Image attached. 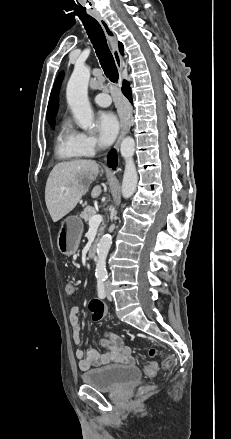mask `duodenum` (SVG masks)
<instances>
[{"mask_svg": "<svg viewBox=\"0 0 231 439\" xmlns=\"http://www.w3.org/2000/svg\"><path fill=\"white\" fill-rule=\"evenodd\" d=\"M96 255H97V245L93 244L88 250L87 257L88 259H94Z\"/></svg>", "mask_w": 231, "mask_h": 439, "instance_id": "obj_1", "label": "duodenum"}]
</instances>
